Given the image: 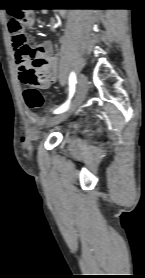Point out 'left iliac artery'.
<instances>
[{
  "label": "left iliac artery",
  "instance_id": "obj_1",
  "mask_svg": "<svg viewBox=\"0 0 145 278\" xmlns=\"http://www.w3.org/2000/svg\"><path fill=\"white\" fill-rule=\"evenodd\" d=\"M75 83H76V75H75L74 72H72L70 74V77H69V97H68L67 101L63 105H61L59 108H57L54 111L55 114L62 113L66 109H68L70 101H71V99H72V97L74 95V92H75Z\"/></svg>",
  "mask_w": 145,
  "mask_h": 278
}]
</instances>
